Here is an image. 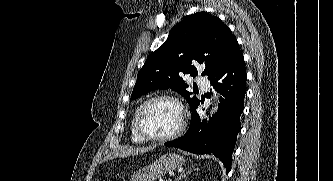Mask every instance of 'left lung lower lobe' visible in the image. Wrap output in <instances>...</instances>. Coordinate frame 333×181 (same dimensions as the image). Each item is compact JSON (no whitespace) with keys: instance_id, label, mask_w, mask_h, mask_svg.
Returning <instances> with one entry per match:
<instances>
[{"instance_id":"0a47b994","label":"left lung lower lobe","mask_w":333,"mask_h":181,"mask_svg":"<svg viewBox=\"0 0 333 181\" xmlns=\"http://www.w3.org/2000/svg\"><path fill=\"white\" fill-rule=\"evenodd\" d=\"M208 79L222 95L217 113L208 122L203 120L200 123L197 104L191 109V124L186 134L165 145L195 154H213L229 172L246 93V69L239 46Z\"/></svg>"}]
</instances>
